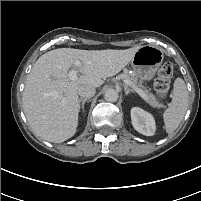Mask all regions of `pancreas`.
<instances>
[{
  "label": "pancreas",
  "instance_id": "pancreas-1",
  "mask_svg": "<svg viewBox=\"0 0 201 201\" xmlns=\"http://www.w3.org/2000/svg\"><path fill=\"white\" fill-rule=\"evenodd\" d=\"M122 78H123V81L128 80L131 83V85H129V86H131L133 89L140 88L147 95V99H145V101L149 105H151L152 107H156V108L163 107V105L159 102V100L152 93H150L146 88L144 90L142 89V88H144L142 85V82L138 81L137 77H135L134 75H129L127 73H124L122 75Z\"/></svg>",
  "mask_w": 201,
  "mask_h": 201
}]
</instances>
